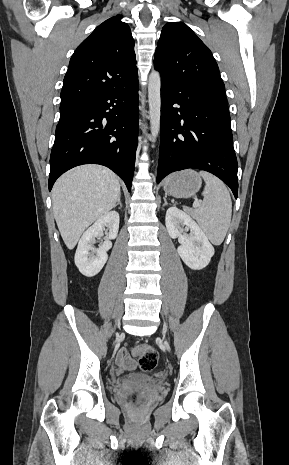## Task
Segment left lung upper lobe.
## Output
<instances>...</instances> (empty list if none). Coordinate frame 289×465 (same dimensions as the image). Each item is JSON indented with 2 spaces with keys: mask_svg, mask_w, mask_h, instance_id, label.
<instances>
[{
  "mask_svg": "<svg viewBox=\"0 0 289 465\" xmlns=\"http://www.w3.org/2000/svg\"><path fill=\"white\" fill-rule=\"evenodd\" d=\"M162 80L204 88L226 96L218 65L209 48L182 22L167 23L155 52Z\"/></svg>",
  "mask_w": 289,
  "mask_h": 465,
  "instance_id": "obj_1",
  "label": "left lung upper lobe"
}]
</instances>
